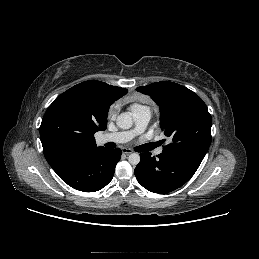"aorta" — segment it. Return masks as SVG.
Masks as SVG:
<instances>
[{
    "label": "aorta",
    "instance_id": "obj_1",
    "mask_svg": "<svg viewBox=\"0 0 259 259\" xmlns=\"http://www.w3.org/2000/svg\"><path fill=\"white\" fill-rule=\"evenodd\" d=\"M116 124L121 129H129L133 125V119L130 113H121L117 119ZM128 161L131 165H137L140 162V155L138 153H131L128 157Z\"/></svg>",
    "mask_w": 259,
    "mask_h": 259
}]
</instances>
